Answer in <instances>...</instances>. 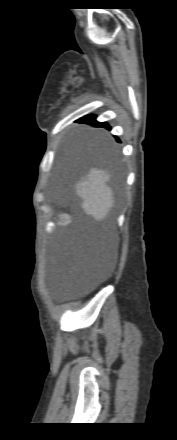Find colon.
I'll return each mask as SVG.
<instances>
[{"mask_svg":"<svg viewBox=\"0 0 177 440\" xmlns=\"http://www.w3.org/2000/svg\"><path fill=\"white\" fill-rule=\"evenodd\" d=\"M58 222H59V224H61V225H65V224H67V223L69 222V216H67V215H61V216L59 217ZM52 227H53V224H50V225H49V229H52Z\"/></svg>","mask_w":177,"mask_h":440,"instance_id":"5ec220e1","label":"colon"}]
</instances>
